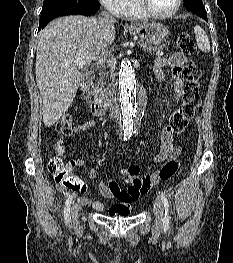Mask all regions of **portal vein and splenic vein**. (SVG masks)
<instances>
[{
  "label": "portal vein and splenic vein",
  "mask_w": 233,
  "mask_h": 263,
  "mask_svg": "<svg viewBox=\"0 0 233 263\" xmlns=\"http://www.w3.org/2000/svg\"><path fill=\"white\" fill-rule=\"evenodd\" d=\"M156 55L162 56V55H163V52H162V51H158V52L156 53ZM95 59H97L96 56H89V57H84V58H78V59H76V60L74 61V64L77 65V66H79V67H81V66L85 65L86 63H88V62H90V61H93V60H95Z\"/></svg>",
  "instance_id": "obj_1"
}]
</instances>
